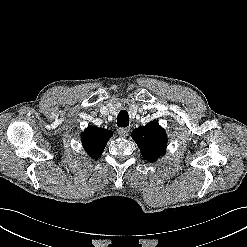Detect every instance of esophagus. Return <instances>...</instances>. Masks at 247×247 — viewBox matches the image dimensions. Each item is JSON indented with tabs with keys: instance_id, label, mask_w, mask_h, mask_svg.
<instances>
[{
	"instance_id": "esophagus-1",
	"label": "esophagus",
	"mask_w": 247,
	"mask_h": 247,
	"mask_svg": "<svg viewBox=\"0 0 247 247\" xmlns=\"http://www.w3.org/2000/svg\"><path fill=\"white\" fill-rule=\"evenodd\" d=\"M129 129L128 128H119L118 129V134L120 137L125 138L128 136Z\"/></svg>"
}]
</instances>
